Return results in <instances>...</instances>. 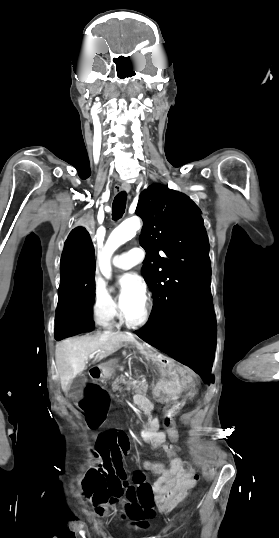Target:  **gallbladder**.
I'll list each match as a JSON object with an SVG mask.
<instances>
[{
	"instance_id": "obj_1",
	"label": "gallbladder",
	"mask_w": 279,
	"mask_h": 538,
	"mask_svg": "<svg viewBox=\"0 0 279 538\" xmlns=\"http://www.w3.org/2000/svg\"><path fill=\"white\" fill-rule=\"evenodd\" d=\"M85 382H87V378H85V376H78V378H75V380L71 382L70 392H72V390H82Z\"/></svg>"
}]
</instances>
